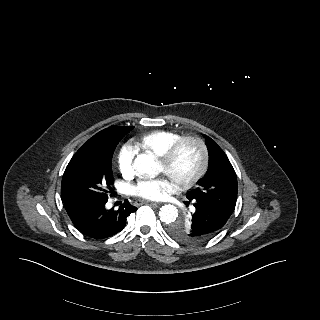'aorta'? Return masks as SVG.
Returning <instances> with one entry per match:
<instances>
[{"label": "aorta", "mask_w": 320, "mask_h": 320, "mask_svg": "<svg viewBox=\"0 0 320 320\" xmlns=\"http://www.w3.org/2000/svg\"><path fill=\"white\" fill-rule=\"evenodd\" d=\"M134 169L139 175L156 176L159 174V163L148 154H140L134 160ZM178 217V209L171 204H166L160 208L159 218L162 222L170 224Z\"/></svg>", "instance_id": "aorta-1"}]
</instances>
